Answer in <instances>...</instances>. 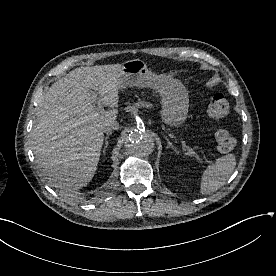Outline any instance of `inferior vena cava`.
<instances>
[{"label":"inferior vena cava","mask_w":276,"mask_h":276,"mask_svg":"<svg viewBox=\"0 0 276 276\" xmlns=\"http://www.w3.org/2000/svg\"><path fill=\"white\" fill-rule=\"evenodd\" d=\"M118 128H119V123L116 120H110L104 124L103 131L106 133H109L112 130H117Z\"/></svg>","instance_id":"inferior-vena-cava-1"}]
</instances>
